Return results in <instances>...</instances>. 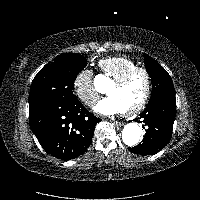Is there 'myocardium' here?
<instances>
[{"mask_svg":"<svg viewBox=\"0 0 200 200\" xmlns=\"http://www.w3.org/2000/svg\"><path fill=\"white\" fill-rule=\"evenodd\" d=\"M139 73L143 74L146 79L145 93L138 104H136L134 107H132L126 111H122V114L124 116H132V115L139 113L141 110L144 109V107L148 103L149 98L151 96V92H152L151 75L145 68L137 67L135 69H132V70L126 72L124 75H122L120 78L113 81L111 84V86H113V87H121L124 84H126L133 76H135L136 74H139Z\"/></svg>","mask_w":200,"mask_h":200,"instance_id":"1","label":"myocardium"}]
</instances>
